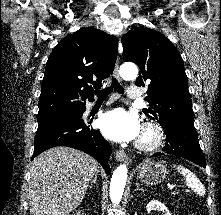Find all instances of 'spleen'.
I'll list each match as a JSON object with an SVG mask.
<instances>
[{
    "instance_id": "3e777b00",
    "label": "spleen",
    "mask_w": 221,
    "mask_h": 215,
    "mask_svg": "<svg viewBox=\"0 0 221 215\" xmlns=\"http://www.w3.org/2000/svg\"><path fill=\"white\" fill-rule=\"evenodd\" d=\"M173 167L185 178L188 187L192 188L200 196L205 194V187L193 172L181 165H173Z\"/></svg>"
}]
</instances>
